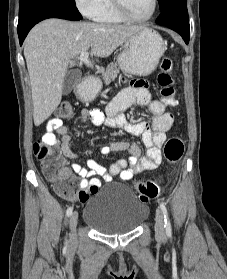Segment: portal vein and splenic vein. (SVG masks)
Listing matches in <instances>:
<instances>
[{"mask_svg":"<svg viewBox=\"0 0 227 279\" xmlns=\"http://www.w3.org/2000/svg\"><path fill=\"white\" fill-rule=\"evenodd\" d=\"M78 60L81 63H84L88 67H92L91 61L89 60V53L88 52H83L79 55Z\"/></svg>","mask_w":227,"mask_h":279,"instance_id":"18ae733b","label":"portal vein and splenic vein"}]
</instances>
